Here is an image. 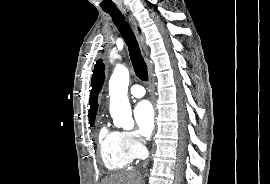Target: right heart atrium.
I'll use <instances>...</instances> for the list:
<instances>
[{"label":"right heart atrium","mask_w":270,"mask_h":184,"mask_svg":"<svg viewBox=\"0 0 270 184\" xmlns=\"http://www.w3.org/2000/svg\"><path fill=\"white\" fill-rule=\"evenodd\" d=\"M121 134L124 144L131 155L134 158L143 156L145 148L139 136L133 131H123Z\"/></svg>","instance_id":"obj_1"}]
</instances>
